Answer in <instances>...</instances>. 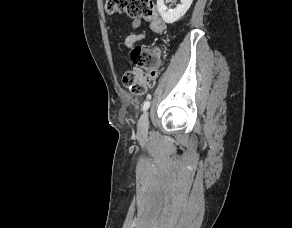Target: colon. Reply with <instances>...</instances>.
Listing matches in <instances>:
<instances>
[{
  "instance_id": "obj_1",
  "label": "colon",
  "mask_w": 292,
  "mask_h": 228,
  "mask_svg": "<svg viewBox=\"0 0 292 228\" xmlns=\"http://www.w3.org/2000/svg\"><path fill=\"white\" fill-rule=\"evenodd\" d=\"M105 9L108 14H126L134 20L135 25L140 20H151L155 17L152 0H106ZM151 27L159 31L163 27V21L155 18ZM131 59L136 67L125 72L122 81L134 95L142 96L155 81L161 62L160 51L138 45L132 49Z\"/></svg>"
}]
</instances>
